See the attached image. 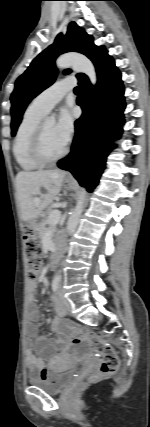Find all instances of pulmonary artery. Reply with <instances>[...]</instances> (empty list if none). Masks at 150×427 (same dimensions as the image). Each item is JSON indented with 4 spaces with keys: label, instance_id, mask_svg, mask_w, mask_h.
<instances>
[{
    "label": "pulmonary artery",
    "instance_id": "1",
    "mask_svg": "<svg viewBox=\"0 0 150 427\" xmlns=\"http://www.w3.org/2000/svg\"><path fill=\"white\" fill-rule=\"evenodd\" d=\"M75 86L76 80L72 77L58 81L41 92L30 106L45 115Z\"/></svg>",
    "mask_w": 150,
    "mask_h": 427
}]
</instances>
